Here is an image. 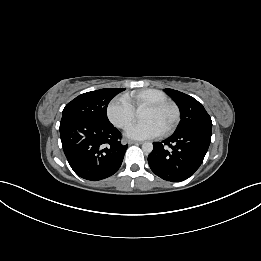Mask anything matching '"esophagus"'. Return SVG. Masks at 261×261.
<instances>
[{
	"mask_svg": "<svg viewBox=\"0 0 261 261\" xmlns=\"http://www.w3.org/2000/svg\"><path fill=\"white\" fill-rule=\"evenodd\" d=\"M127 143H128L129 145H133V144H136V145H138V144H142L141 141H135V140H127Z\"/></svg>",
	"mask_w": 261,
	"mask_h": 261,
	"instance_id": "1",
	"label": "esophagus"
}]
</instances>
